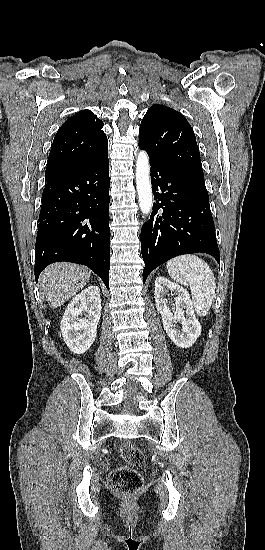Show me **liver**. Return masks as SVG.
Listing matches in <instances>:
<instances>
[{
    "instance_id": "6515ba94",
    "label": "liver",
    "mask_w": 265,
    "mask_h": 550,
    "mask_svg": "<svg viewBox=\"0 0 265 550\" xmlns=\"http://www.w3.org/2000/svg\"><path fill=\"white\" fill-rule=\"evenodd\" d=\"M91 272L72 263L48 266L41 274V288L51 308H57L76 295L89 281Z\"/></svg>"
}]
</instances>
